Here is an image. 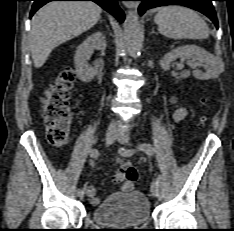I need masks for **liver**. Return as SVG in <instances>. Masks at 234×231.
Wrapping results in <instances>:
<instances>
[{
    "instance_id": "obj_1",
    "label": "liver",
    "mask_w": 234,
    "mask_h": 231,
    "mask_svg": "<svg viewBox=\"0 0 234 231\" xmlns=\"http://www.w3.org/2000/svg\"><path fill=\"white\" fill-rule=\"evenodd\" d=\"M101 12L91 1H57L42 7L32 18L29 34L34 66L42 67L57 46L92 28Z\"/></svg>"
}]
</instances>
